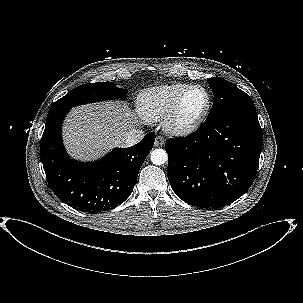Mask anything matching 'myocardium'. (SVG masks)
Masks as SVG:
<instances>
[{
	"mask_svg": "<svg viewBox=\"0 0 303 303\" xmlns=\"http://www.w3.org/2000/svg\"><path fill=\"white\" fill-rule=\"evenodd\" d=\"M194 89H201L205 93L206 104L203 111L197 115L194 119L183 122L180 120V112L183 103L188 94ZM211 109V96L209 91L202 85H190L184 92L178 97L174 105L168 111L163 118V127L166 132L175 136H186L196 131L207 118Z\"/></svg>",
	"mask_w": 303,
	"mask_h": 303,
	"instance_id": "obj_1",
	"label": "myocardium"
}]
</instances>
